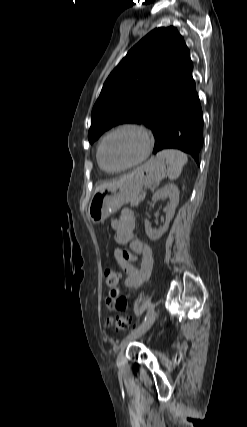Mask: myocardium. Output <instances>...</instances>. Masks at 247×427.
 Wrapping results in <instances>:
<instances>
[{
    "mask_svg": "<svg viewBox=\"0 0 247 427\" xmlns=\"http://www.w3.org/2000/svg\"><path fill=\"white\" fill-rule=\"evenodd\" d=\"M125 129H131V130H135L137 132H139L145 139V148L143 153L141 154V156L136 159L134 162L123 166L121 168L118 169H109L105 166L103 159H102V150H103V146L105 144V142L114 134H116L117 132L121 131V130H125ZM153 144H154V137L153 134L151 133V131L144 125L142 124H138V123H132V122H128V123H123L120 124L116 127H114L112 130H110L101 140V142L99 143L98 146V151H97V159L99 162L100 167L109 173H118V172H122L125 170H128L130 168H133L139 164H141L143 161H145L147 159V157L149 156L152 148H153Z\"/></svg>",
    "mask_w": 247,
    "mask_h": 427,
    "instance_id": "obj_1",
    "label": "myocardium"
}]
</instances>
